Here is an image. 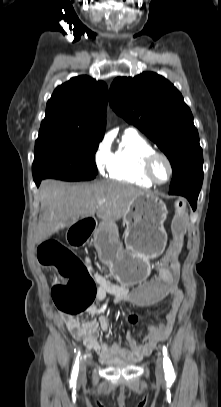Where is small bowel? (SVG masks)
<instances>
[{
  "instance_id": "obj_1",
  "label": "small bowel",
  "mask_w": 221,
  "mask_h": 407,
  "mask_svg": "<svg viewBox=\"0 0 221 407\" xmlns=\"http://www.w3.org/2000/svg\"><path fill=\"white\" fill-rule=\"evenodd\" d=\"M85 264L97 283L95 297L99 302H103L106 299V296L111 294L114 297L115 303H131L132 290L130 284H113L104 276L93 270L88 258L85 259ZM166 294L171 297V308L165 315L163 321L158 325L150 326L149 334L143 338L141 343H138L136 339L129 337L128 348H125L118 343L110 344L106 341L98 340L99 329H101L105 335H108L112 326L115 324V321L108 314H102L98 319L90 318L87 320H80L75 316L65 314L64 322L68 331L74 338L83 341L86 347L95 350L102 359L137 361L143 356L151 353L155 346L159 342L165 340L172 330L182 303L183 293L181 289L176 286L175 292H166ZM87 311L90 315H95L98 313V308L95 305H91ZM129 320L131 323H135L138 318L136 315H131Z\"/></svg>"
}]
</instances>
